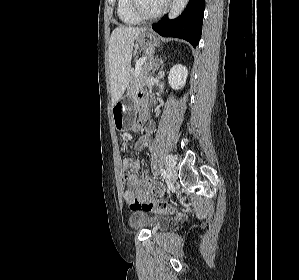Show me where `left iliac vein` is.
<instances>
[{
    "mask_svg": "<svg viewBox=\"0 0 299 280\" xmlns=\"http://www.w3.org/2000/svg\"><path fill=\"white\" fill-rule=\"evenodd\" d=\"M176 180H177V169L173 167L169 174V185L173 186Z\"/></svg>",
    "mask_w": 299,
    "mask_h": 280,
    "instance_id": "left-iliac-vein-1",
    "label": "left iliac vein"
}]
</instances>
